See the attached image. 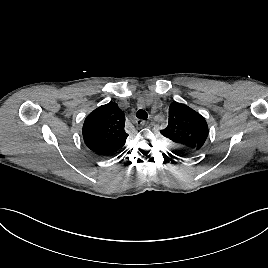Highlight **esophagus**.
Here are the masks:
<instances>
[{
	"mask_svg": "<svg viewBox=\"0 0 268 268\" xmlns=\"http://www.w3.org/2000/svg\"><path fill=\"white\" fill-rule=\"evenodd\" d=\"M136 123H137L138 125H142V126H145V125L148 124L146 121L141 120V119H138V120L136 121Z\"/></svg>",
	"mask_w": 268,
	"mask_h": 268,
	"instance_id": "obj_1",
	"label": "esophagus"
}]
</instances>
